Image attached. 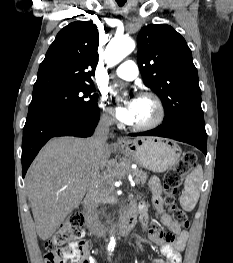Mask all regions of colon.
<instances>
[{"label":"colon","mask_w":233,"mask_h":263,"mask_svg":"<svg viewBox=\"0 0 233 263\" xmlns=\"http://www.w3.org/2000/svg\"><path fill=\"white\" fill-rule=\"evenodd\" d=\"M196 155L185 152L174 168L163 178L165 203L168 214L181 228L190 225L187 214L176 207L175 194L184 176L193 168ZM83 215L80 212L71 213L59 226L53 236L45 243V263H89V244L83 238Z\"/></svg>","instance_id":"1"}]
</instances>
